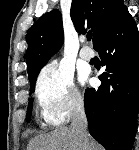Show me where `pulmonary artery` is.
<instances>
[{
    "instance_id": "e3ab8cb5",
    "label": "pulmonary artery",
    "mask_w": 139,
    "mask_h": 150,
    "mask_svg": "<svg viewBox=\"0 0 139 150\" xmlns=\"http://www.w3.org/2000/svg\"><path fill=\"white\" fill-rule=\"evenodd\" d=\"M80 57L83 59V60H91L93 57H94V52L92 49H90L89 47H83L81 50H80V53H79Z\"/></svg>"
}]
</instances>
